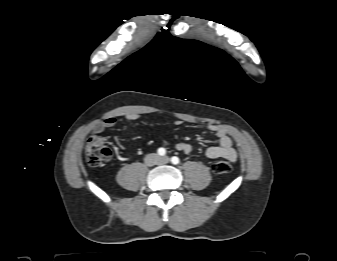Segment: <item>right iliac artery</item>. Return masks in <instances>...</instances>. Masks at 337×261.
<instances>
[{"mask_svg":"<svg viewBox=\"0 0 337 261\" xmlns=\"http://www.w3.org/2000/svg\"><path fill=\"white\" fill-rule=\"evenodd\" d=\"M158 154L161 155V156H163V155L166 154V150L164 148H159L158 149Z\"/></svg>","mask_w":337,"mask_h":261,"instance_id":"82829eb1","label":"right iliac artery"}]
</instances>
